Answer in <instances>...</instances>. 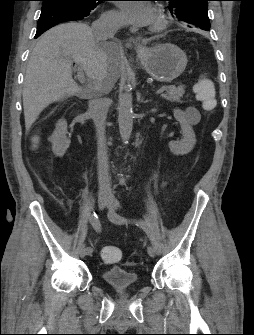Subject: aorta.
I'll list each match as a JSON object with an SVG mask.
<instances>
[{"mask_svg":"<svg viewBox=\"0 0 254 335\" xmlns=\"http://www.w3.org/2000/svg\"><path fill=\"white\" fill-rule=\"evenodd\" d=\"M131 85L126 84L119 94L118 123L122 141L129 140L133 129V105Z\"/></svg>","mask_w":254,"mask_h":335,"instance_id":"762f6f07","label":"aorta"}]
</instances>
